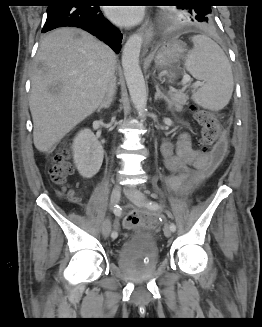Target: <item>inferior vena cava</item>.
I'll return each instance as SVG.
<instances>
[{
	"mask_svg": "<svg viewBox=\"0 0 262 327\" xmlns=\"http://www.w3.org/2000/svg\"><path fill=\"white\" fill-rule=\"evenodd\" d=\"M115 90H116V83H115L114 75H112L109 79V84L107 87V95L113 96L115 94Z\"/></svg>",
	"mask_w": 262,
	"mask_h": 327,
	"instance_id": "602c4592",
	"label": "inferior vena cava"
}]
</instances>
